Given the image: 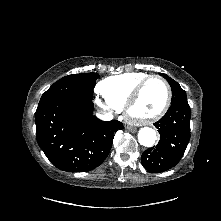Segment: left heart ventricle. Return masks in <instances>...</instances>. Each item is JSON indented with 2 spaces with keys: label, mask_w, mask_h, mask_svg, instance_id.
I'll use <instances>...</instances> for the list:
<instances>
[{
  "label": "left heart ventricle",
  "mask_w": 221,
  "mask_h": 221,
  "mask_svg": "<svg viewBox=\"0 0 221 221\" xmlns=\"http://www.w3.org/2000/svg\"><path fill=\"white\" fill-rule=\"evenodd\" d=\"M166 98L164 84L158 79H152L143 88L140 97L132 109L135 117L143 118L155 114L161 109Z\"/></svg>",
  "instance_id": "b2bd125f"
}]
</instances>
